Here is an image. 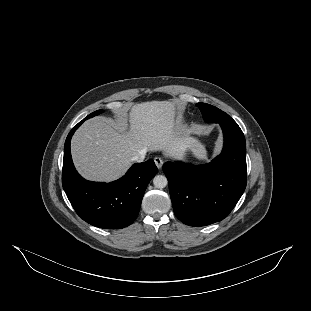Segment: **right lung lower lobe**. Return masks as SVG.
Listing matches in <instances>:
<instances>
[{
  "instance_id": "98d812e1",
  "label": "right lung lower lobe",
  "mask_w": 311,
  "mask_h": 311,
  "mask_svg": "<svg viewBox=\"0 0 311 311\" xmlns=\"http://www.w3.org/2000/svg\"><path fill=\"white\" fill-rule=\"evenodd\" d=\"M79 122L68 134L64 146L62 185L76 213L87 223L105 229L129 226L137 218L142 198L157 167L153 160L134 164L120 179L111 183L91 182L76 171L70 141Z\"/></svg>"
}]
</instances>
